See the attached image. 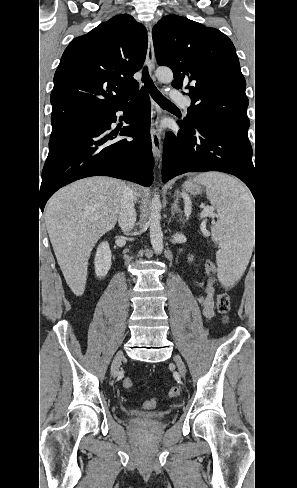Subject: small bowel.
<instances>
[{
	"instance_id": "obj_1",
	"label": "small bowel",
	"mask_w": 297,
	"mask_h": 488,
	"mask_svg": "<svg viewBox=\"0 0 297 488\" xmlns=\"http://www.w3.org/2000/svg\"><path fill=\"white\" fill-rule=\"evenodd\" d=\"M216 286L217 279L215 277H210L204 285L203 292L198 296V302L206 320H209L214 316V294Z\"/></svg>"
}]
</instances>
